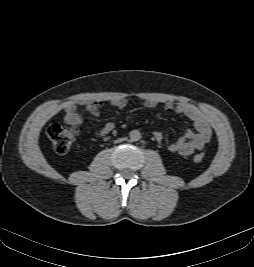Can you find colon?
Instances as JSON below:
<instances>
[{
    "instance_id": "obj_1",
    "label": "colon",
    "mask_w": 254,
    "mask_h": 267,
    "mask_svg": "<svg viewBox=\"0 0 254 267\" xmlns=\"http://www.w3.org/2000/svg\"><path fill=\"white\" fill-rule=\"evenodd\" d=\"M79 129L75 126H65L60 124H52L47 129V135L52 142L54 150L59 154L67 153L72 144L79 136ZM203 153L194 155L193 160L200 163L204 160Z\"/></svg>"
}]
</instances>
